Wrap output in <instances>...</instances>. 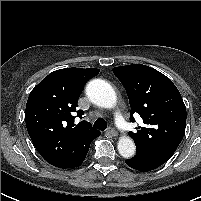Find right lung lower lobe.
Instances as JSON below:
<instances>
[{"mask_svg": "<svg viewBox=\"0 0 201 201\" xmlns=\"http://www.w3.org/2000/svg\"><path fill=\"white\" fill-rule=\"evenodd\" d=\"M89 146H90V145H89ZM88 150H89V147H88ZM88 150L85 152V154H84L82 160L79 162V164H78L77 166H80V165L82 164V162L84 161V159H85V157H86V155H87V153H88ZM77 166H75V167H77Z\"/></svg>", "mask_w": 201, "mask_h": 201, "instance_id": "right-lung-lower-lobe-1", "label": "right lung lower lobe"}]
</instances>
